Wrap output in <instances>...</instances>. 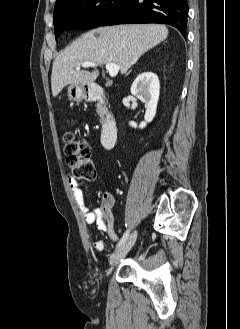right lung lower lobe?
Segmentation results:
<instances>
[{
	"instance_id": "obj_1",
	"label": "right lung lower lobe",
	"mask_w": 240,
	"mask_h": 329,
	"mask_svg": "<svg viewBox=\"0 0 240 329\" xmlns=\"http://www.w3.org/2000/svg\"><path fill=\"white\" fill-rule=\"evenodd\" d=\"M187 16V0H125L101 25L163 23L186 38Z\"/></svg>"
}]
</instances>
